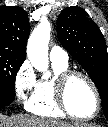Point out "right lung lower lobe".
Masks as SVG:
<instances>
[{
    "mask_svg": "<svg viewBox=\"0 0 108 127\" xmlns=\"http://www.w3.org/2000/svg\"><path fill=\"white\" fill-rule=\"evenodd\" d=\"M15 96L0 93V108H3L10 104L14 100Z\"/></svg>",
    "mask_w": 108,
    "mask_h": 127,
    "instance_id": "right-lung-lower-lobe-1",
    "label": "right lung lower lobe"
}]
</instances>
